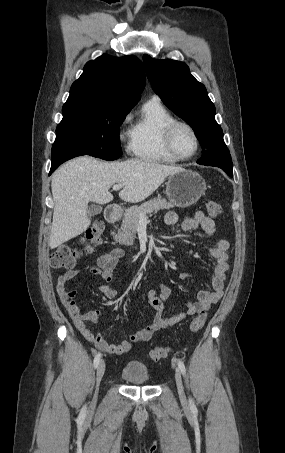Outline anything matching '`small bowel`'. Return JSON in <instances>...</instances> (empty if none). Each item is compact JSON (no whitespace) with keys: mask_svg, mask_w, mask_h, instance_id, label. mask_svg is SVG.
Returning a JSON list of instances; mask_svg holds the SVG:
<instances>
[{"mask_svg":"<svg viewBox=\"0 0 285 453\" xmlns=\"http://www.w3.org/2000/svg\"><path fill=\"white\" fill-rule=\"evenodd\" d=\"M168 226H173L178 222V216L175 212H168L164 218ZM183 231H190L200 228L206 235L213 236L216 231L215 221L206 216L203 212H196L193 216L184 219L181 223ZM210 255L215 260L213 276L211 280V290H200L195 301H187L184 312L166 314L165 300L169 295V288L162 284L161 292L158 295L154 290H149L147 299L154 310V319L148 326L136 331L129 336L132 342L149 341L157 331L173 326L184 320L187 316H193L208 310L212 304L217 303L224 292L227 271L229 269L228 254L229 242L220 240L215 243L208 242L205 245ZM123 256L122 249L116 248L110 252L103 253L99 256L97 264L88 269L90 275L100 278L103 282L97 286V289L109 300L117 298L119 292L113 286V270L120 258ZM79 274L78 270L71 269L62 273L57 280L56 291L66 312L73 320L75 327L81 335L98 350L106 353L121 355L131 349V342L123 340L119 343H109L100 332L94 333L88 326L87 322L98 323L102 312L94 310L82 314L75 302L76 291L67 290V283ZM182 279L189 278L188 273H181Z\"/></svg>","mask_w":285,"mask_h":453,"instance_id":"obj_1","label":"small bowel"}]
</instances>
